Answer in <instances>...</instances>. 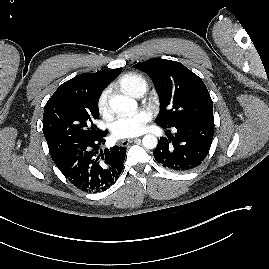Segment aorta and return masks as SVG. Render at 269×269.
Listing matches in <instances>:
<instances>
[{
  "instance_id": "762f6f07",
  "label": "aorta",
  "mask_w": 269,
  "mask_h": 269,
  "mask_svg": "<svg viewBox=\"0 0 269 269\" xmlns=\"http://www.w3.org/2000/svg\"><path fill=\"white\" fill-rule=\"evenodd\" d=\"M109 105L113 111L121 114H133L137 108V102L124 95H116L109 101ZM143 146L146 149H154L158 144L156 136L152 134L145 135L142 139Z\"/></svg>"
}]
</instances>
